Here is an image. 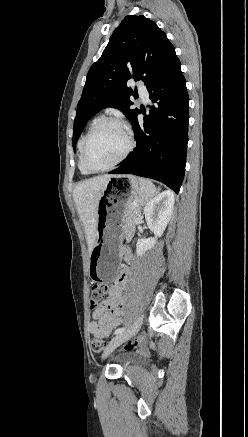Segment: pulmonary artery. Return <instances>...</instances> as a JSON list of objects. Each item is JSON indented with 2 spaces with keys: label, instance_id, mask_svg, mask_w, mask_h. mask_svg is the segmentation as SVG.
Returning a JSON list of instances; mask_svg holds the SVG:
<instances>
[{
  "label": "pulmonary artery",
  "instance_id": "1",
  "mask_svg": "<svg viewBox=\"0 0 248 437\" xmlns=\"http://www.w3.org/2000/svg\"><path fill=\"white\" fill-rule=\"evenodd\" d=\"M138 93H139V96L141 97V99H142L145 103L148 102V100H149V93H148V91L146 90V88L140 86V87L138 88Z\"/></svg>",
  "mask_w": 248,
  "mask_h": 437
}]
</instances>
